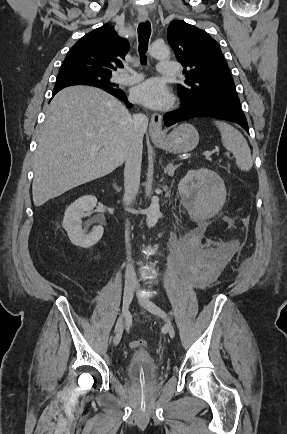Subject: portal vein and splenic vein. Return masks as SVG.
<instances>
[{"mask_svg":"<svg viewBox=\"0 0 287 434\" xmlns=\"http://www.w3.org/2000/svg\"><path fill=\"white\" fill-rule=\"evenodd\" d=\"M215 152H216L215 150H213V151H205V152L203 153V155L206 156V157H210V156L213 155Z\"/></svg>","mask_w":287,"mask_h":434,"instance_id":"18ae733b","label":"portal vein and splenic vein"}]
</instances>
